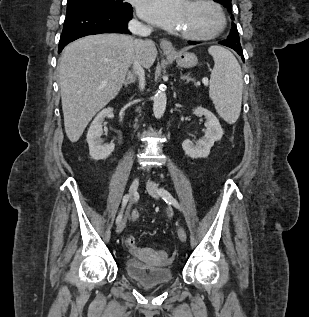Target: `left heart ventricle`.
Here are the masks:
<instances>
[{
    "instance_id": "obj_1",
    "label": "left heart ventricle",
    "mask_w": 309,
    "mask_h": 317,
    "mask_svg": "<svg viewBox=\"0 0 309 317\" xmlns=\"http://www.w3.org/2000/svg\"><path fill=\"white\" fill-rule=\"evenodd\" d=\"M217 25L214 10L204 4L187 2L180 31L188 33H207Z\"/></svg>"
}]
</instances>
